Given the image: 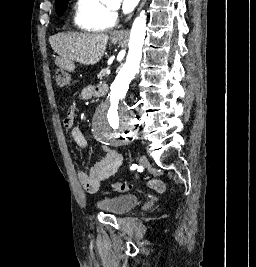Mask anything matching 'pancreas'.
I'll use <instances>...</instances> for the list:
<instances>
[{"label": "pancreas", "mask_w": 256, "mask_h": 267, "mask_svg": "<svg viewBox=\"0 0 256 267\" xmlns=\"http://www.w3.org/2000/svg\"><path fill=\"white\" fill-rule=\"evenodd\" d=\"M104 72H106V70H102L101 74H99V78H104L105 76Z\"/></svg>", "instance_id": "pancreas-1"}]
</instances>
